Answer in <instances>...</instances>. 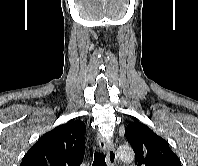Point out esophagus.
Masks as SVG:
<instances>
[{"mask_svg": "<svg viewBox=\"0 0 198 166\" xmlns=\"http://www.w3.org/2000/svg\"><path fill=\"white\" fill-rule=\"evenodd\" d=\"M97 141L101 149L106 151L108 166H116L118 158L115 152L113 141L105 139L99 133L97 134Z\"/></svg>", "mask_w": 198, "mask_h": 166, "instance_id": "obj_1", "label": "esophagus"}]
</instances>
